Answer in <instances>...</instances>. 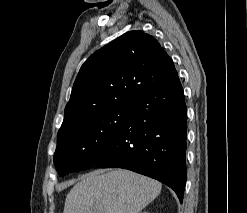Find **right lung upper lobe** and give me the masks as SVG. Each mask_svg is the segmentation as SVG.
<instances>
[{
	"label": "right lung upper lobe",
	"instance_id": "right-lung-upper-lobe-1",
	"mask_svg": "<svg viewBox=\"0 0 247 213\" xmlns=\"http://www.w3.org/2000/svg\"><path fill=\"white\" fill-rule=\"evenodd\" d=\"M152 36L130 31L92 54L74 82L57 136L176 74Z\"/></svg>",
	"mask_w": 247,
	"mask_h": 213
}]
</instances>
